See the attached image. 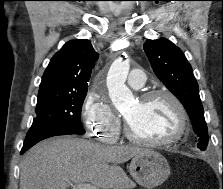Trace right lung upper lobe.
Returning <instances> with one entry per match:
<instances>
[{
    "mask_svg": "<svg viewBox=\"0 0 223 189\" xmlns=\"http://www.w3.org/2000/svg\"><path fill=\"white\" fill-rule=\"evenodd\" d=\"M98 57L89 40L68 41L50 60L38 93L88 89Z\"/></svg>",
    "mask_w": 223,
    "mask_h": 189,
    "instance_id": "right-lung-upper-lobe-1",
    "label": "right lung upper lobe"
}]
</instances>
